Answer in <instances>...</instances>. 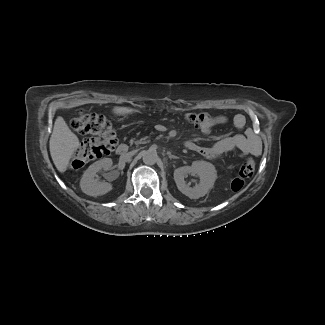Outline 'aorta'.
Here are the masks:
<instances>
[{"mask_svg":"<svg viewBox=\"0 0 325 325\" xmlns=\"http://www.w3.org/2000/svg\"><path fill=\"white\" fill-rule=\"evenodd\" d=\"M142 160L146 165H154L158 160L157 152L152 149L142 151Z\"/></svg>","mask_w":325,"mask_h":325,"instance_id":"aorta-1","label":"aorta"}]
</instances>
